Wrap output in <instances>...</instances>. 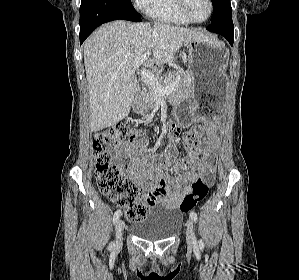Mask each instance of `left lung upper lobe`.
Here are the masks:
<instances>
[{
  "label": "left lung upper lobe",
  "mask_w": 299,
  "mask_h": 280,
  "mask_svg": "<svg viewBox=\"0 0 299 280\" xmlns=\"http://www.w3.org/2000/svg\"><path fill=\"white\" fill-rule=\"evenodd\" d=\"M211 1H212V4H213V16H214V14L216 13V11L218 10V4L222 0H211ZM213 16H212V18H213Z\"/></svg>",
  "instance_id": "left-lung-upper-lobe-1"
}]
</instances>
